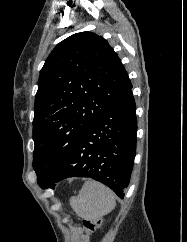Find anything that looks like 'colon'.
<instances>
[{"label": "colon", "mask_w": 187, "mask_h": 242, "mask_svg": "<svg viewBox=\"0 0 187 242\" xmlns=\"http://www.w3.org/2000/svg\"><path fill=\"white\" fill-rule=\"evenodd\" d=\"M101 217H94L83 222V229L86 234L93 233L101 225Z\"/></svg>", "instance_id": "colon-1"}]
</instances>
